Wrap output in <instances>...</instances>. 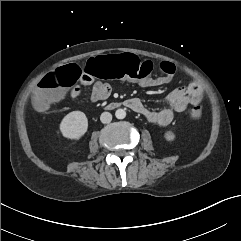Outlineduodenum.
Masks as SVG:
<instances>
[{"label":"duodenum","mask_w":241,"mask_h":241,"mask_svg":"<svg viewBox=\"0 0 241 241\" xmlns=\"http://www.w3.org/2000/svg\"><path fill=\"white\" fill-rule=\"evenodd\" d=\"M119 106H121V103L114 102V103H110V104L108 105V108H109V109H115V108H117V107H119Z\"/></svg>","instance_id":"1"}]
</instances>
